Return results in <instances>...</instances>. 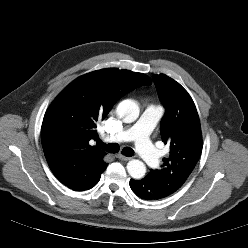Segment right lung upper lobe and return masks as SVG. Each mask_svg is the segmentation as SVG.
I'll list each match as a JSON object with an SVG mask.
<instances>
[{
    "instance_id": "1",
    "label": "right lung upper lobe",
    "mask_w": 248,
    "mask_h": 248,
    "mask_svg": "<svg viewBox=\"0 0 248 248\" xmlns=\"http://www.w3.org/2000/svg\"><path fill=\"white\" fill-rule=\"evenodd\" d=\"M150 84L142 73L108 68L80 76L56 97L45 113L41 141L48 165L61 183L77 190L106 169V153L89 144L97 137V123L122 96Z\"/></svg>"
}]
</instances>
